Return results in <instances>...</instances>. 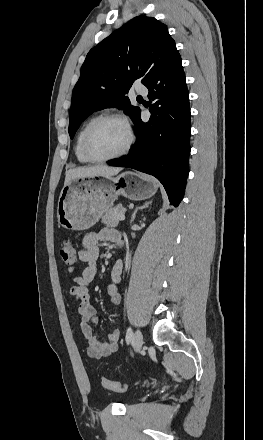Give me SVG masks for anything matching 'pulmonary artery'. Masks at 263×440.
<instances>
[{
    "label": "pulmonary artery",
    "mask_w": 263,
    "mask_h": 440,
    "mask_svg": "<svg viewBox=\"0 0 263 440\" xmlns=\"http://www.w3.org/2000/svg\"><path fill=\"white\" fill-rule=\"evenodd\" d=\"M137 93L146 95L148 93V89L146 87H137L136 88Z\"/></svg>",
    "instance_id": "1"
}]
</instances>
